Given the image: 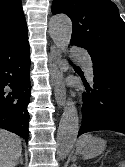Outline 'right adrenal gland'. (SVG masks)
Returning a JSON list of instances; mask_svg holds the SVG:
<instances>
[{
  "mask_svg": "<svg viewBox=\"0 0 125 167\" xmlns=\"http://www.w3.org/2000/svg\"><path fill=\"white\" fill-rule=\"evenodd\" d=\"M23 164V157H22V155L20 156V158H19V160L17 161V163H16V165H18V164Z\"/></svg>",
  "mask_w": 125,
  "mask_h": 167,
  "instance_id": "obj_1",
  "label": "right adrenal gland"
}]
</instances>
